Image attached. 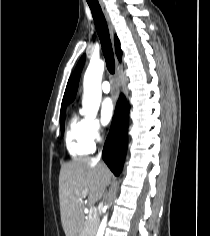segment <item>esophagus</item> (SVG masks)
I'll list each match as a JSON object with an SVG mask.
<instances>
[{
    "label": "esophagus",
    "instance_id": "34e87169",
    "mask_svg": "<svg viewBox=\"0 0 210 236\" xmlns=\"http://www.w3.org/2000/svg\"><path fill=\"white\" fill-rule=\"evenodd\" d=\"M100 5H101L103 14L105 16V19H106V22H107V25H108V28H109V32H110L111 38L113 40V38H114V27H113V24L111 22L109 13H108L105 5L103 4V2H100ZM116 66H117V74H116V98H118L119 90H120V78H119L120 65H119L117 60H116Z\"/></svg>",
    "mask_w": 210,
    "mask_h": 236
}]
</instances>
